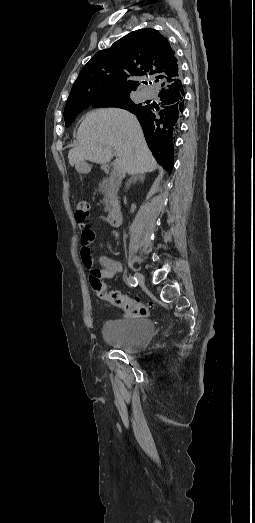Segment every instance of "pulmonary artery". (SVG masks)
Returning a JSON list of instances; mask_svg holds the SVG:
<instances>
[{"mask_svg": "<svg viewBox=\"0 0 255 523\" xmlns=\"http://www.w3.org/2000/svg\"><path fill=\"white\" fill-rule=\"evenodd\" d=\"M155 93L154 89H142L140 91V95L143 99H149L151 98Z\"/></svg>", "mask_w": 255, "mask_h": 523, "instance_id": "pulmonary-artery-1", "label": "pulmonary artery"}]
</instances>
